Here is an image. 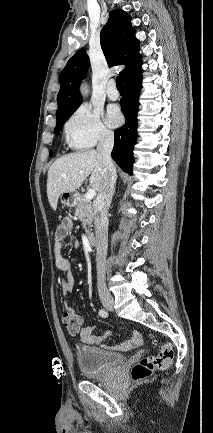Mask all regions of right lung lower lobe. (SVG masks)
<instances>
[{
  "instance_id": "1",
  "label": "right lung lower lobe",
  "mask_w": 213,
  "mask_h": 433,
  "mask_svg": "<svg viewBox=\"0 0 213 433\" xmlns=\"http://www.w3.org/2000/svg\"><path fill=\"white\" fill-rule=\"evenodd\" d=\"M141 65L124 80L126 94L120 105L125 124L114 133V148L111 153L119 167L129 174L133 171V149L137 140V112L143 72Z\"/></svg>"
}]
</instances>
